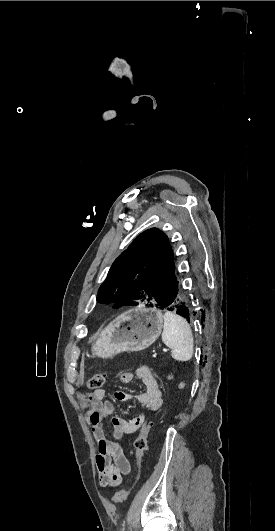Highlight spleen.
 Wrapping results in <instances>:
<instances>
[{
    "label": "spleen",
    "instance_id": "spleen-1",
    "mask_svg": "<svg viewBox=\"0 0 275 531\" xmlns=\"http://www.w3.org/2000/svg\"><path fill=\"white\" fill-rule=\"evenodd\" d=\"M163 319L162 341L171 349V357L176 361H189L194 341L188 321L171 311H166Z\"/></svg>",
    "mask_w": 275,
    "mask_h": 531
}]
</instances>
